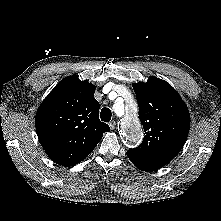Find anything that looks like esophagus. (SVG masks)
<instances>
[{
    "label": "esophagus",
    "instance_id": "1",
    "mask_svg": "<svg viewBox=\"0 0 221 221\" xmlns=\"http://www.w3.org/2000/svg\"><path fill=\"white\" fill-rule=\"evenodd\" d=\"M109 127H110L111 130H114L115 127H116V122H115V121H111V122L109 123Z\"/></svg>",
    "mask_w": 221,
    "mask_h": 221
}]
</instances>
